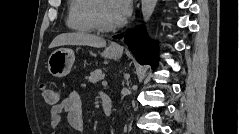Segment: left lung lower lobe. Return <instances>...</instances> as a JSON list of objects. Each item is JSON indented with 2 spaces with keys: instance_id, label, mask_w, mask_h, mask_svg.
Listing matches in <instances>:
<instances>
[{
  "instance_id": "1",
  "label": "left lung lower lobe",
  "mask_w": 239,
  "mask_h": 134,
  "mask_svg": "<svg viewBox=\"0 0 239 134\" xmlns=\"http://www.w3.org/2000/svg\"><path fill=\"white\" fill-rule=\"evenodd\" d=\"M116 35L114 38H121ZM124 42L135 55L140 64H150L155 69L158 64L157 46L148 42L142 27L135 28L130 34H126Z\"/></svg>"
}]
</instances>
